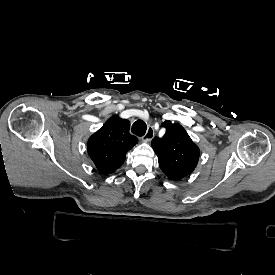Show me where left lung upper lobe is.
Wrapping results in <instances>:
<instances>
[{
	"mask_svg": "<svg viewBox=\"0 0 275 275\" xmlns=\"http://www.w3.org/2000/svg\"><path fill=\"white\" fill-rule=\"evenodd\" d=\"M162 126L166 132L152 140V148L161 170L170 179L179 180L194 171L200 150L181 125L165 121Z\"/></svg>",
	"mask_w": 275,
	"mask_h": 275,
	"instance_id": "obj_1",
	"label": "left lung upper lobe"
}]
</instances>
